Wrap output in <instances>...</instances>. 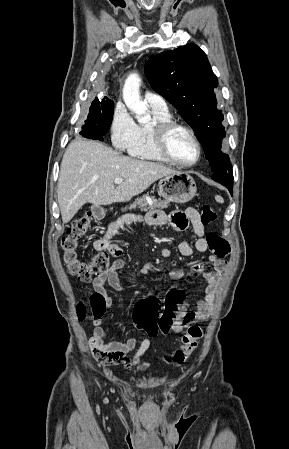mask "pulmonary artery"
<instances>
[{"label": "pulmonary artery", "mask_w": 289, "mask_h": 449, "mask_svg": "<svg viewBox=\"0 0 289 449\" xmlns=\"http://www.w3.org/2000/svg\"><path fill=\"white\" fill-rule=\"evenodd\" d=\"M144 99L151 108L158 110H166V101L158 94L146 91L144 94Z\"/></svg>", "instance_id": "1"}]
</instances>
